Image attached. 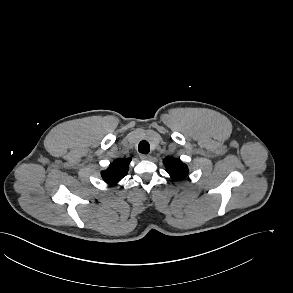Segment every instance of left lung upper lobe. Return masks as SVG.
Masks as SVG:
<instances>
[{
  "label": "left lung upper lobe",
  "mask_w": 293,
  "mask_h": 293,
  "mask_svg": "<svg viewBox=\"0 0 293 293\" xmlns=\"http://www.w3.org/2000/svg\"><path fill=\"white\" fill-rule=\"evenodd\" d=\"M167 173L174 180H183L188 175V167L180 159L166 157L163 161Z\"/></svg>",
  "instance_id": "5c2ea615"
}]
</instances>
